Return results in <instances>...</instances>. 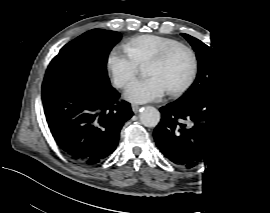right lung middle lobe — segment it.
Here are the masks:
<instances>
[{"label": "right lung middle lobe", "instance_id": "right-lung-middle-lobe-1", "mask_svg": "<svg viewBox=\"0 0 270 213\" xmlns=\"http://www.w3.org/2000/svg\"><path fill=\"white\" fill-rule=\"evenodd\" d=\"M120 38V33L102 29L80 35L61 48L50 62L45 77L81 76L110 85L106 63L109 52Z\"/></svg>", "mask_w": 270, "mask_h": 213}]
</instances>
